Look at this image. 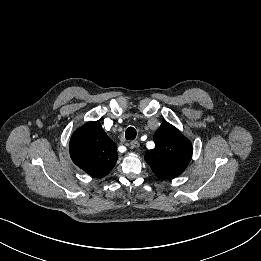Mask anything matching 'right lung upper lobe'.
<instances>
[{"label": "right lung upper lobe", "mask_w": 261, "mask_h": 261, "mask_svg": "<svg viewBox=\"0 0 261 261\" xmlns=\"http://www.w3.org/2000/svg\"><path fill=\"white\" fill-rule=\"evenodd\" d=\"M69 149L73 162L94 178L106 176L118 159L116 145L99 120L78 128L71 137Z\"/></svg>", "instance_id": "1"}]
</instances>
